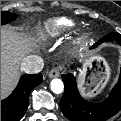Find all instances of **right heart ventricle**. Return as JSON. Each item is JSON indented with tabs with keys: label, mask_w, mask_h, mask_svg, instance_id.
Listing matches in <instances>:
<instances>
[{
	"label": "right heart ventricle",
	"mask_w": 121,
	"mask_h": 121,
	"mask_svg": "<svg viewBox=\"0 0 121 121\" xmlns=\"http://www.w3.org/2000/svg\"><path fill=\"white\" fill-rule=\"evenodd\" d=\"M73 26L74 24L71 21L57 18L46 24L44 27V32L49 37H57L69 31Z\"/></svg>",
	"instance_id": "right-heart-ventricle-1"
}]
</instances>
